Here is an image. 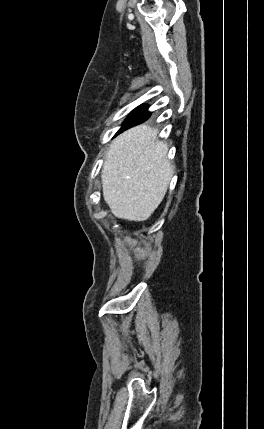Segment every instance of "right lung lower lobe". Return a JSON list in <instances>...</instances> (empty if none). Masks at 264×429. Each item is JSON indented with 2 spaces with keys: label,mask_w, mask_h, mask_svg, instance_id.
I'll return each instance as SVG.
<instances>
[{
  "label": "right lung lower lobe",
  "mask_w": 264,
  "mask_h": 429,
  "mask_svg": "<svg viewBox=\"0 0 264 429\" xmlns=\"http://www.w3.org/2000/svg\"><path fill=\"white\" fill-rule=\"evenodd\" d=\"M149 116H150V115H149ZM142 122H144V121H139V122L133 123V124H131V125L127 126L126 128H124L123 130H125V129H127V128H130V127H132V126H134V125L140 124V123H142ZM123 130H122V131H123Z\"/></svg>",
  "instance_id": "right-lung-lower-lobe-1"
}]
</instances>
